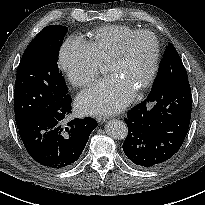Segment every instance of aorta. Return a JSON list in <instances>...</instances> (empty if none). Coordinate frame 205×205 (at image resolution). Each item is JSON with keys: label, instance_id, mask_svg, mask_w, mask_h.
I'll return each mask as SVG.
<instances>
[{"label": "aorta", "instance_id": "1", "mask_svg": "<svg viewBox=\"0 0 205 205\" xmlns=\"http://www.w3.org/2000/svg\"><path fill=\"white\" fill-rule=\"evenodd\" d=\"M106 133L113 139H124L128 134L127 125L121 120H111L106 124Z\"/></svg>", "mask_w": 205, "mask_h": 205}]
</instances>
